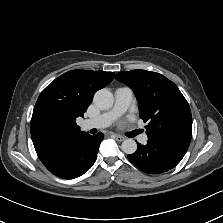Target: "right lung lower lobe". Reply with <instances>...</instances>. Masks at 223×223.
I'll use <instances>...</instances> for the list:
<instances>
[{
	"label": "right lung lower lobe",
	"instance_id": "right-lung-lower-lobe-1",
	"mask_svg": "<svg viewBox=\"0 0 223 223\" xmlns=\"http://www.w3.org/2000/svg\"><path fill=\"white\" fill-rule=\"evenodd\" d=\"M104 135L94 136L84 133L56 160L45 164V167L54 175L72 179L83 175L94 164L99 145Z\"/></svg>",
	"mask_w": 223,
	"mask_h": 223
}]
</instances>
